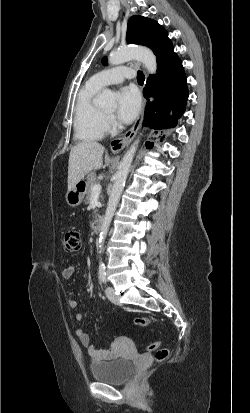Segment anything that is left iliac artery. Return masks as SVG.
<instances>
[{"label": "left iliac artery", "instance_id": "obj_1", "mask_svg": "<svg viewBox=\"0 0 250 413\" xmlns=\"http://www.w3.org/2000/svg\"><path fill=\"white\" fill-rule=\"evenodd\" d=\"M99 277H100V279L103 283L107 282L106 272H105V265L104 264H100V266H99Z\"/></svg>", "mask_w": 250, "mask_h": 413}]
</instances>
